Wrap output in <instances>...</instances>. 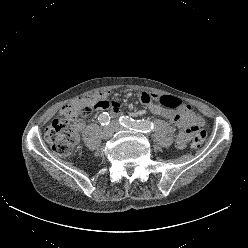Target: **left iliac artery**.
<instances>
[{
  "instance_id": "obj_1",
  "label": "left iliac artery",
  "mask_w": 248,
  "mask_h": 248,
  "mask_svg": "<svg viewBox=\"0 0 248 248\" xmlns=\"http://www.w3.org/2000/svg\"><path fill=\"white\" fill-rule=\"evenodd\" d=\"M119 122L122 126L138 132L149 133L151 130L154 129V125L152 122L147 120L136 121L132 118H129L128 116H121L119 118Z\"/></svg>"
}]
</instances>
